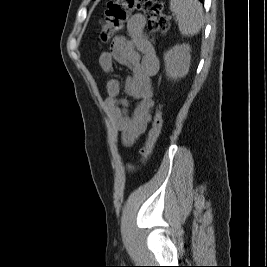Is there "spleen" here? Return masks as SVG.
<instances>
[{"mask_svg":"<svg viewBox=\"0 0 267 267\" xmlns=\"http://www.w3.org/2000/svg\"><path fill=\"white\" fill-rule=\"evenodd\" d=\"M170 10L176 15L182 35L197 34L204 24L203 7L198 0H170Z\"/></svg>","mask_w":267,"mask_h":267,"instance_id":"3e777b00","label":"spleen"}]
</instances>
